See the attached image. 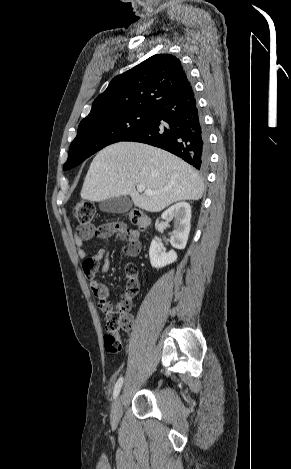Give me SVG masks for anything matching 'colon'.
I'll list each match as a JSON object with an SVG mask.
<instances>
[{"mask_svg":"<svg viewBox=\"0 0 291 469\" xmlns=\"http://www.w3.org/2000/svg\"><path fill=\"white\" fill-rule=\"evenodd\" d=\"M95 215V205L88 200H80L73 207V216L78 221L77 230L81 234H95L101 237L106 230L98 227L93 231L92 222ZM128 218L130 222L140 228H145L149 224V218L140 209L134 208L129 211ZM89 269H96L94 263H88ZM127 277V288L125 294L121 297L115 307L105 312V328L107 333L104 335L105 350L112 354H117L122 350L121 338L118 334L120 329L130 330L133 325V318L130 315L132 299L138 291V268L134 264H128L125 268Z\"/></svg>","mask_w":291,"mask_h":469,"instance_id":"1","label":"colon"}]
</instances>
